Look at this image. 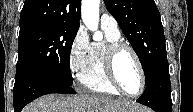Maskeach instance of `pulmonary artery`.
<instances>
[{
  "instance_id": "obj_1",
  "label": "pulmonary artery",
  "mask_w": 193,
  "mask_h": 112,
  "mask_svg": "<svg viewBox=\"0 0 193 112\" xmlns=\"http://www.w3.org/2000/svg\"><path fill=\"white\" fill-rule=\"evenodd\" d=\"M100 24L102 28L113 32H120L116 19L110 14H103L100 18Z\"/></svg>"
}]
</instances>
